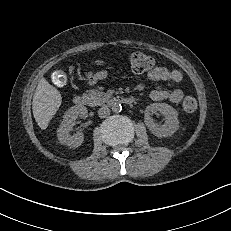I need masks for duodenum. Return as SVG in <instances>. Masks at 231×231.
<instances>
[{"label":"duodenum","mask_w":231,"mask_h":231,"mask_svg":"<svg viewBox=\"0 0 231 231\" xmlns=\"http://www.w3.org/2000/svg\"><path fill=\"white\" fill-rule=\"evenodd\" d=\"M112 103H122L131 105L135 103V99L130 96H115L110 100ZM74 103L77 107H85L89 105L90 100L85 95H78L74 98Z\"/></svg>","instance_id":"obj_1"}]
</instances>
